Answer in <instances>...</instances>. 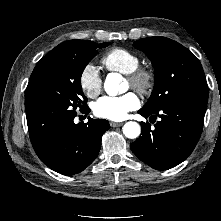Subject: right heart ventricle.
<instances>
[{
    "label": "right heart ventricle",
    "instance_id": "right-heart-ventricle-1",
    "mask_svg": "<svg viewBox=\"0 0 221 221\" xmlns=\"http://www.w3.org/2000/svg\"><path fill=\"white\" fill-rule=\"evenodd\" d=\"M101 62L107 70L127 75L139 65V57L128 49L117 47L106 52Z\"/></svg>",
    "mask_w": 221,
    "mask_h": 221
}]
</instances>
